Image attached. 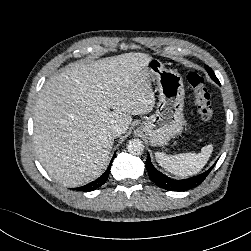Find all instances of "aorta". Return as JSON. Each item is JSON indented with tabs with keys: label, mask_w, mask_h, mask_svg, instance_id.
<instances>
[{
	"label": "aorta",
	"mask_w": 251,
	"mask_h": 251,
	"mask_svg": "<svg viewBox=\"0 0 251 251\" xmlns=\"http://www.w3.org/2000/svg\"><path fill=\"white\" fill-rule=\"evenodd\" d=\"M127 149L132 155H140L144 151V144L140 139H131L127 144Z\"/></svg>",
	"instance_id": "762f6f07"
}]
</instances>
